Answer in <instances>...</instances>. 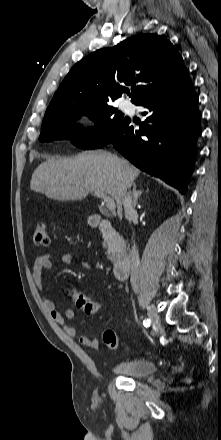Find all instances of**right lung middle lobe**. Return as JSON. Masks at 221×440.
Returning <instances> with one entry per match:
<instances>
[{
  "label": "right lung middle lobe",
  "mask_w": 221,
  "mask_h": 440,
  "mask_svg": "<svg viewBox=\"0 0 221 440\" xmlns=\"http://www.w3.org/2000/svg\"><path fill=\"white\" fill-rule=\"evenodd\" d=\"M85 115L94 121L96 127L77 129L75 120ZM127 117H123L111 104L89 107L84 104H75L56 110L46 111L42 131L39 137L41 142L70 138L72 143L83 149L103 147L124 124Z\"/></svg>",
  "instance_id": "obj_1"
}]
</instances>
